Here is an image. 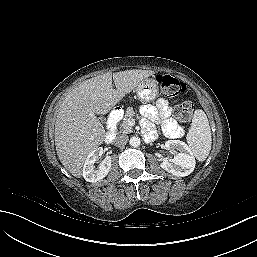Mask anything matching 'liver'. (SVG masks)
Returning a JSON list of instances; mask_svg holds the SVG:
<instances>
[{"label":"liver","instance_id":"obj_1","mask_svg":"<svg viewBox=\"0 0 257 257\" xmlns=\"http://www.w3.org/2000/svg\"><path fill=\"white\" fill-rule=\"evenodd\" d=\"M153 74L152 70H127L113 75L108 72L67 93L58 109L54 134L58 158L73 176H81L87 156L105 139V129L96 115L108 113Z\"/></svg>","mask_w":257,"mask_h":257}]
</instances>
